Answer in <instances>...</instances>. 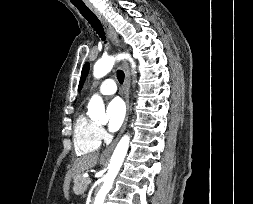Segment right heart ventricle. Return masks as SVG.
Returning <instances> with one entry per match:
<instances>
[{"label": "right heart ventricle", "instance_id": "1", "mask_svg": "<svg viewBox=\"0 0 253 204\" xmlns=\"http://www.w3.org/2000/svg\"><path fill=\"white\" fill-rule=\"evenodd\" d=\"M98 126L84 113H81L74 124L73 141L77 155L82 156L95 152L100 146Z\"/></svg>", "mask_w": 253, "mask_h": 204}]
</instances>
